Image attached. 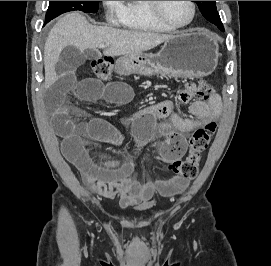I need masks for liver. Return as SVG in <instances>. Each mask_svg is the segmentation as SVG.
I'll return each instance as SVG.
<instances>
[{"instance_id":"obj_1","label":"liver","mask_w":271,"mask_h":266,"mask_svg":"<svg viewBox=\"0 0 271 266\" xmlns=\"http://www.w3.org/2000/svg\"><path fill=\"white\" fill-rule=\"evenodd\" d=\"M171 37L155 32L93 26L80 13H68L53 26L44 46V86L48 89L58 80L54 62L59 61L61 52L67 46H75L85 52L106 45L105 56H127L155 48Z\"/></svg>"}]
</instances>
